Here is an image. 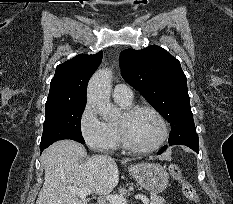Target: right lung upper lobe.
Instances as JSON below:
<instances>
[{
    "mask_svg": "<svg viewBox=\"0 0 233 204\" xmlns=\"http://www.w3.org/2000/svg\"><path fill=\"white\" fill-rule=\"evenodd\" d=\"M102 57V51L94 55L80 54L58 65L50 83L46 104L85 102L86 85Z\"/></svg>",
    "mask_w": 233,
    "mask_h": 204,
    "instance_id": "1",
    "label": "right lung upper lobe"
}]
</instances>
